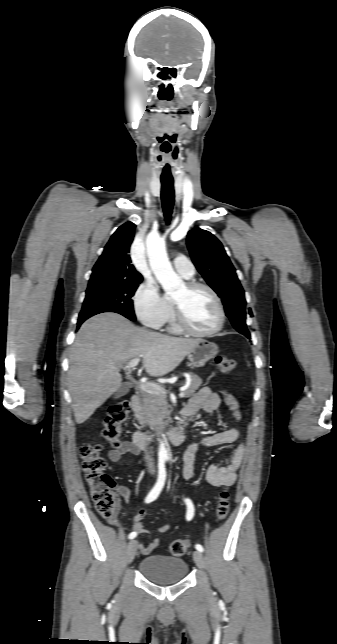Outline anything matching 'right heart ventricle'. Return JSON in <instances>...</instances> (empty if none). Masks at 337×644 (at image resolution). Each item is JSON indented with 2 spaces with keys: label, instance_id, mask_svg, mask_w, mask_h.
I'll return each instance as SVG.
<instances>
[{
  "label": "right heart ventricle",
  "instance_id": "e07e8e85",
  "mask_svg": "<svg viewBox=\"0 0 337 644\" xmlns=\"http://www.w3.org/2000/svg\"><path fill=\"white\" fill-rule=\"evenodd\" d=\"M168 304H169V312H168V315L166 317V320H165L164 324L165 323L167 324V330L170 333L177 334V333L180 332V330L177 328V326L174 323L173 314H172V308H171V305H170L169 302H168Z\"/></svg>",
  "mask_w": 337,
  "mask_h": 644
}]
</instances>
